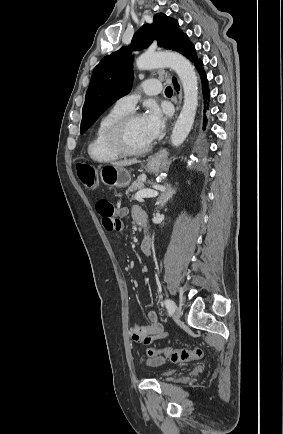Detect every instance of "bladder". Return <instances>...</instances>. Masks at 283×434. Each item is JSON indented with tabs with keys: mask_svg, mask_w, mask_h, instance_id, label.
Returning a JSON list of instances; mask_svg holds the SVG:
<instances>
[{
	"mask_svg": "<svg viewBox=\"0 0 283 434\" xmlns=\"http://www.w3.org/2000/svg\"><path fill=\"white\" fill-rule=\"evenodd\" d=\"M172 373H173V371H165V372L160 373L158 376H159V378H166V377L170 376Z\"/></svg>",
	"mask_w": 283,
	"mask_h": 434,
	"instance_id": "31cf9c89",
	"label": "bladder"
}]
</instances>
